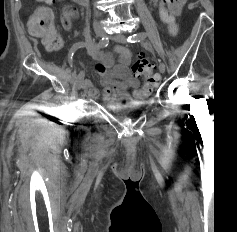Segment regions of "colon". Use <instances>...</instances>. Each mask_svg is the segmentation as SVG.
Here are the masks:
<instances>
[{"label":"colon","mask_w":237,"mask_h":232,"mask_svg":"<svg viewBox=\"0 0 237 232\" xmlns=\"http://www.w3.org/2000/svg\"><path fill=\"white\" fill-rule=\"evenodd\" d=\"M46 5L36 7L28 17V31L29 33L42 40L43 45L49 52H55L61 47V39L58 36L55 26L54 17L51 9L47 6L56 0H40ZM169 0H160L158 6V14L162 22H164L170 29L173 35H176L178 28L176 25V15L168 6ZM65 15L68 18H74L77 15L73 7L65 10ZM155 67L143 55L139 56L138 60L132 66L134 75H144V88L151 90L159 82V77L155 73Z\"/></svg>","instance_id":"5ec220e1"}]
</instances>
